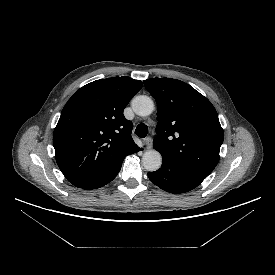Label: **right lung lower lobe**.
<instances>
[{"instance_id": "1", "label": "right lung lower lobe", "mask_w": 275, "mask_h": 275, "mask_svg": "<svg viewBox=\"0 0 275 275\" xmlns=\"http://www.w3.org/2000/svg\"><path fill=\"white\" fill-rule=\"evenodd\" d=\"M137 152V151H136ZM121 169V166L119 168H117L116 170H114L111 174H109L108 176L104 177V178H101L95 182H92L84 187H82L83 189H88V190H91V189H96V188H100L106 184H108L110 181H112L116 175L118 174V172L120 171Z\"/></svg>"}]
</instances>
